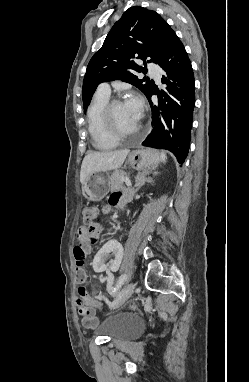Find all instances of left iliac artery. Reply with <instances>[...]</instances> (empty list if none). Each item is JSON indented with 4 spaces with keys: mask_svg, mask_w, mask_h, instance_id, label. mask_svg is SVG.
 I'll return each instance as SVG.
<instances>
[{
    "mask_svg": "<svg viewBox=\"0 0 249 382\" xmlns=\"http://www.w3.org/2000/svg\"><path fill=\"white\" fill-rule=\"evenodd\" d=\"M127 281V275L126 274H122L118 281H117V284L114 288H111L109 289V291L115 295L117 293V291L121 288V286Z\"/></svg>",
    "mask_w": 249,
    "mask_h": 382,
    "instance_id": "left-iliac-artery-1",
    "label": "left iliac artery"
}]
</instances>
